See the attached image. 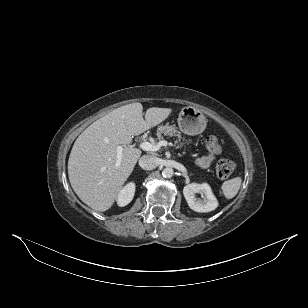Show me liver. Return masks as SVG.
Here are the masks:
<instances>
[{
	"mask_svg": "<svg viewBox=\"0 0 308 308\" xmlns=\"http://www.w3.org/2000/svg\"><path fill=\"white\" fill-rule=\"evenodd\" d=\"M136 102L114 109L87 127L76 139L68 160L70 184L77 196L96 211L113 205L141 150L130 145L131 135L157 126L171 114L170 108L152 107L143 118ZM123 148L119 166L117 148Z\"/></svg>",
	"mask_w": 308,
	"mask_h": 308,
	"instance_id": "obj_1",
	"label": "liver"
}]
</instances>
